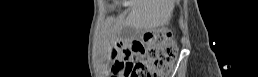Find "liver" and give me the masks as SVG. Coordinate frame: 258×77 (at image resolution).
<instances>
[{"instance_id":"liver-1","label":"liver","mask_w":258,"mask_h":77,"mask_svg":"<svg viewBox=\"0 0 258 77\" xmlns=\"http://www.w3.org/2000/svg\"><path fill=\"white\" fill-rule=\"evenodd\" d=\"M128 23L136 28L152 29L162 25L173 7V0H129Z\"/></svg>"}]
</instances>
